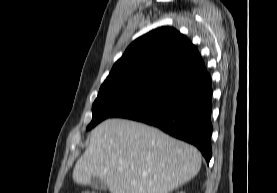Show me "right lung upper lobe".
Masks as SVG:
<instances>
[{"instance_id": "right-lung-upper-lobe-1", "label": "right lung upper lobe", "mask_w": 277, "mask_h": 193, "mask_svg": "<svg viewBox=\"0 0 277 193\" xmlns=\"http://www.w3.org/2000/svg\"><path fill=\"white\" fill-rule=\"evenodd\" d=\"M204 67L196 47L171 27L136 39L114 64L100 89L127 87L155 91Z\"/></svg>"}]
</instances>
